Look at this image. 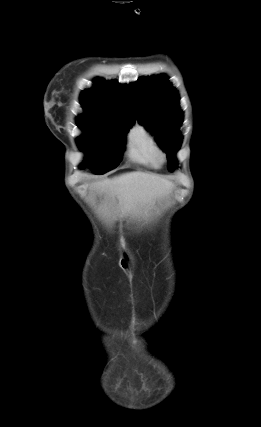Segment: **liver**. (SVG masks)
Listing matches in <instances>:
<instances>
[{"instance_id": "1", "label": "liver", "mask_w": 261, "mask_h": 427, "mask_svg": "<svg viewBox=\"0 0 261 427\" xmlns=\"http://www.w3.org/2000/svg\"><path fill=\"white\" fill-rule=\"evenodd\" d=\"M99 186L104 191H109L116 195L123 212L127 214L158 197L171 193L173 188L170 181L139 171L125 173L105 180Z\"/></svg>"}]
</instances>
